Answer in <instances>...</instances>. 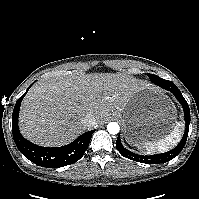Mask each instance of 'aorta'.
I'll use <instances>...</instances> for the list:
<instances>
[{"label":"aorta","instance_id":"762f6f07","mask_svg":"<svg viewBox=\"0 0 199 199\" xmlns=\"http://www.w3.org/2000/svg\"><path fill=\"white\" fill-rule=\"evenodd\" d=\"M120 130V127L118 125V123L116 122H110L108 125H107V131L110 133V134H117Z\"/></svg>","mask_w":199,"mask_h":199}]
</instances>
